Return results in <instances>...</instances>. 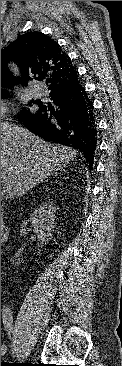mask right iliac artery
Masks as SVG:
<instances>
[{
	"instance_id": "82829eb1",
	"label": "right iliac artery",
	"mask_w": 122,
	"mask_h": 366,
	"mask_svg": "<svg viewBox=\"0 0 122 366\" xmlns=\"http://www.w3.org/2000/svg\"><path fill=\"white\" fill-rule=\"evenodd\" d=\"M3 324L9 334L13 332L12 317L8 307L3 308Z\"/></svg>"
}]
</instances>
